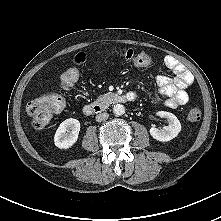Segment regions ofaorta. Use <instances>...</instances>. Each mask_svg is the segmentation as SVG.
Returning <instances> with one entry per match:
<instances>
[{"label": "aorta", "instance_id": "1", "mask_svg": "<svg viewBox=\"0 0 221 221\" xmlns=\"http://www.w3.org/2000/svg\"><path fill=\"white\" fill-rule=\"evenodd\" d=\"M113 112L118 116L123 115L125 113V107L122 104H115L113 106Z\"/></svg>", "mask_w": 221, "mask_h": 221}]
</instances>
